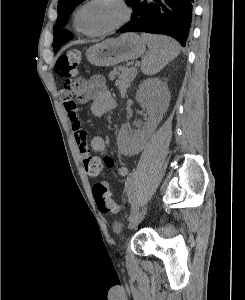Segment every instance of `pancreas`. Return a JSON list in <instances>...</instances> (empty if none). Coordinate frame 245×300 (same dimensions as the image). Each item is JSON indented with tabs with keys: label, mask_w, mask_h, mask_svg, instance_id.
Listing matches in <instances>:
<instances>
[{
	"label": "pancreas",
	"mask_w": 245,
	"mask_h": 300,
	"mask_svg": "<svg viewBox=\"0 0 245 300\" xmlns=\"http://www.w3.org/2000/svg\"><path fill=\"white\" fill-rule=\"evenodd\" d=\"M137 74V70L135 68H129L125 66L115 67L113 71H111L109 77L110 79H114L115 76H118L116 81V86L120 89L121 93L125 94L127 88L131 85L133 79Z\"/></svg>",
	"instance_id": "pancreas-1"
}]
</instances>
